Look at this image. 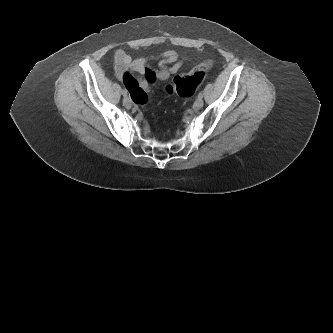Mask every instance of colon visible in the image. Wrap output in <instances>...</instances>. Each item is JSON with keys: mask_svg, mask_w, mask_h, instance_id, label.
<instances>
[{"mask_svg": "<svg viewBox=\"0 0 333 333\" xmlns=\"http://www.w3.org/2000/svg\"><path fill=\"white\" fill-rule=\"evenodd\" d=\"M210 67V61L203 62L195 67L190 74L176 76L171 83L165 86V92L168 94L175 93L181 97L192 96L203 82Z\"/></svg>", "mask_w": 333, "mask_h": 333, "instance_id": "obj_1", "label": "colon"}]
</instances>
